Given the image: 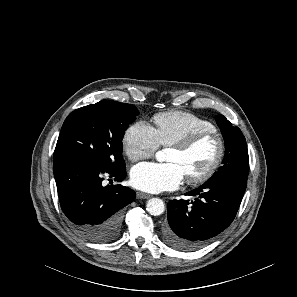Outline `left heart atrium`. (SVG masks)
I'll return each mask as SVG.
<instances>
[{"instance_id": "obj_1", "label": "left heart atrium", "mask_w": 297, "mask_h": 297, "mask_svg": "<svg viewBox=\"0 0 297 297\" xmlns=\"http://www.w3.org/2000/svg\"><path fill=\"white\" fill-rule=\"evenodd\" d=\"M185 179L182 167L176 162H142L130 173L131 184L142 191L157 193L177 188Z\"/></svg>"}]
</instances>
